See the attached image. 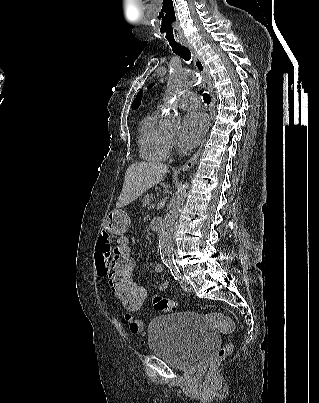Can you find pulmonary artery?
<instances>
[{
	"instance_id": "1",
	"label": "pulmonary artery",
	"mask_w": 319,
	"mask_h": 403,
	"mask_svg": "<svg viewBox=\"0 0 319 403\" xmlns=\"http://www.w3.org/2000/svg\"><path fill=\"white\" fill-rule=\"evenodd\" d=\"M179 104L185 108H197L200 105L199 97L194 92H187L178 99Z\"/></svg>"
}]
</instances>
